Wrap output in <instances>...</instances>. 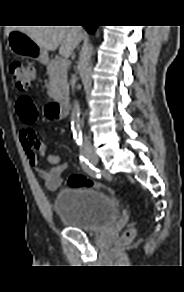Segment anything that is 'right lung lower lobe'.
<instances>
[{
	"instance_id": "right-lung-lower-lobe-1",
	"label": "right lung lower lobe",
	"mask_w": 184,
	"mask_h": 292,
	"mask_svg": "<svg viewBox=\"0 0 184 292\" xmlns=\"http://www.w3.org/2000/svg\"><path fill=\"white\" fill-rule=\"evenodd\" d=\"M90 34L94 33L96 30L97 26L95 25H84L83 26Z\"/></svg>"
}]
</instances>
